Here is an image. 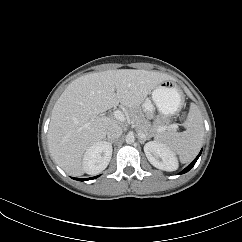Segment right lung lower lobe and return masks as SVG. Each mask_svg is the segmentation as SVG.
Wrapping results in <instances>:
<instances>
[{"label":"right lung lower lobe","instance_id":"1","mask_svg":"<svg viewBox=\"0 0 242 242\" xmlns=\"http://www.w3.org/2000/svg\"><path fill=\"white\" fill-rule=\"evenodd\" d=\"M98 176L96 177H92V178H86V179H82V178H74L76 180H79V181H85V180H91V179H94V178H97Z\"/></svg>","mask_w":242,"mask_h":242}]
</instances>
